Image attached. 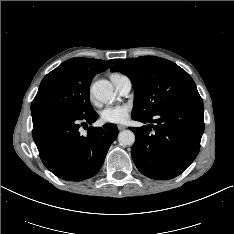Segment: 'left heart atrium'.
Returning <instances> with one entry per match:
<instances>
[{
  "label": "left heart atrium",
  "mask_w": 234,
  "mask_h": 234,
  "mask_svg": "<svg viewBox=\"0 0 234 234\" xmlns=\"http://www.w3.org/2000/svg\"><path fill=\"white\" fill-rule=\"evenodd\" d=\"M130 106L127 104H118L105 107L100 118L103 123L109 124H124L129 119Z\"/></svg>",
  "instance_id": "39dd6f15"
}]
</instances>
